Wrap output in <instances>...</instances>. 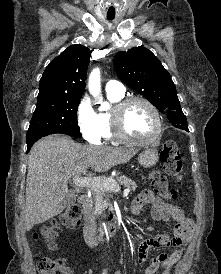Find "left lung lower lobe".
Segmentation results:
<instances>
[{
	"mask_svg": "<svg viewBox=\"0 0 221 274\" xmlns=\"http://www.w3.org/2000/svg\"><path fill=\"white\" fill-rule=\"evenodd\" d=\"M177 128L183 129V130H185V131H189V130H188V127H177Z\"/></svg>",
	"mask_w": 221,
	"mask_h": 274,
	"instance_id": "left-lung-lower-lobe-1",
	"label": "left lung lower lobe"
}]
</instances>
